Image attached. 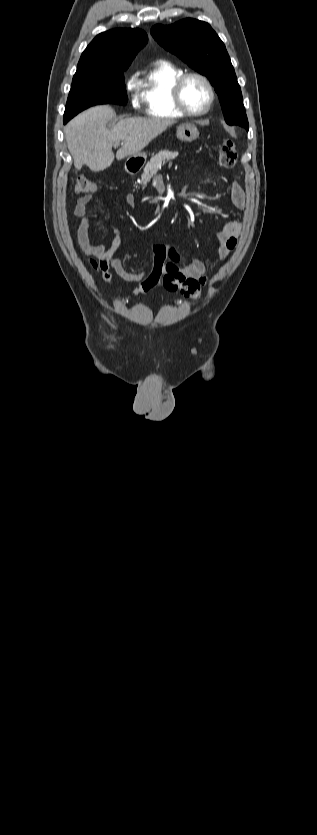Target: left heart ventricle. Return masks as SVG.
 Listing matches in <instances>:
<instances>
[{
    "label": "left heart ventricle",
    "instance_id": "1",
    "mask_svg": "<svg viewBox=\"0 0 317 835\" xmlns=\"http://www.w3.org/2000/svg\"><path fill=\"white\" fill-rule=\"evenodd\" d=\"M183 99L190 110L201 111L209 102V89L200 79L191 78L184 87Z\"/></svg>",
    "mask_w": 317,
    "mask_h": 835
}]
</instances>
